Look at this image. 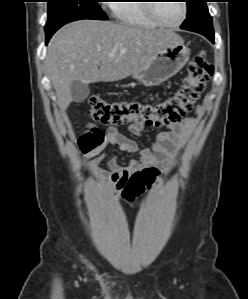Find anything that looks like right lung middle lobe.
<instances>
[{
	"label": "right lung middle lobe",
	"mask_w": 248,
	"mask_h": 299,
	"mask_svg": "<svg viewBox=\"0 0 248 299\" xmlns=\"http://www.w3.org/2000/svg\"><path fill=\"white\" fill-rule=\"evenodd\" d=\"M98 0H48V18L45 25L46 42L64 24L80 19L106 20Z\"/></svg>",
	"instance_id": "right-lung-middle-lobe-1"
}]
</instances>
